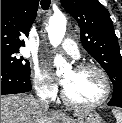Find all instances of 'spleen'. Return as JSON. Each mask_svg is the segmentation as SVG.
<instances>
[{"label":"spleen","mask_w":122,"mask_h":123,"mask_svg":"<svg viewBox=\"0 0 122 123\" xmlns=\"http://www.w3.org/2000/svg\"><path fill=\"white\" fill-rule=\"evenodd\" d=\"M112 112L116 118L117 123H122V111L119 109H113Z\"/></svg>","instance_id":"obj_1"}]
</instances>
